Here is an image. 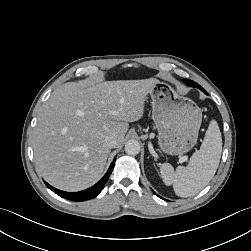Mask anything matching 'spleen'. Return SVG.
I'll list each match as a JSON object with an SVG mask.
<instances>
[{
    "label": "spleen",
    "mask_w": 251,
    "mask_h": 251,
    "mask_svg": "<svg viewBox=\"0 0 251 251\" xmlns=\"http://www.w3.org/2000/svg\"><path fill=\"white\" fill-rule=\"evenodd\" d=\"M222 152V137L215 120L206 131L200 150L193 153L187 166L176 171L169 163L160 166L161 177L166 185H173L175 194L190 197L199 193L214 177Z\"/></svg>",
    "instance_id": "spleen-1"
}]
</instances>
